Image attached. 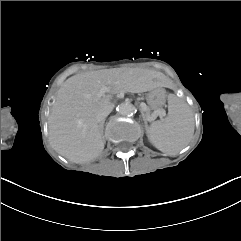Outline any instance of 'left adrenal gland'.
Masks as SVG:
<instances>
[{
	"mask_svg": "<svg viewBox=\"0 0 241 241\" xmlns=\"http://www.w3.org/2000/svg\"><path fill=\"white\" fill-rule=\"evenodd\" d=\"M142 118H143L144 124L147 125V121H146V117H145L144 113H142Z\"/></svg>",
	"mask_w": 241,
	"mask_h": 241,
	"instance_id": "1",
	"label": "left adrenal gland"
}]
</instances>
